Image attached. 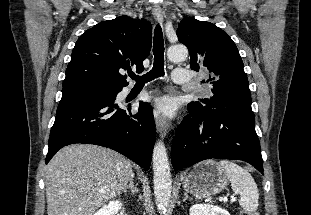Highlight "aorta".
<instances>
[{
    "label": "aorta",
    "instance_id": "obj_1",
    "mask_svg": "<svg viewBox=\"0 0 311 215\" xmlns=\"http://www.w3.org/2000/svg\"><path fill=\"white\" fill-rule=\"evenodd\" d=\"M187 48L183 45H173L169 47L167 56L170 61H183L187 57ZM154 173V195L158 210L166 213L170 203L172 180L170 165L164 143L157 141L152 156Z\"/></svg>",
    "mask_w": 311,
    "mask_h": 215
}]
</instances>
